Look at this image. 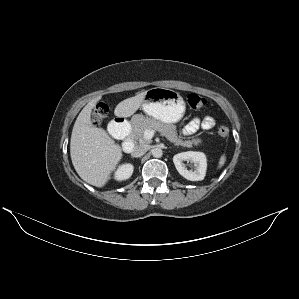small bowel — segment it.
Wrapping results in <instances>:
<instances>
[{
    "instance_id": "obj_1",
    "label": "small bowel",
    "mask_w": 299,
    "mask_h": 299,
    "mask_svg": "<svg viewBox=\"0 0 299 299\" xmlns=\"http://www.w3.org/2000/svg\"><path fill=\"white\" fill-rule=\"evenodd\" d=\"M215 124V121L213 117L211 116H206L203 119H194L190 123L186 124L182 128V133L184 135H190L194 132H196L199 128H203L205 130H208L212 128Z\"/></svg>"
}]
</instances>
